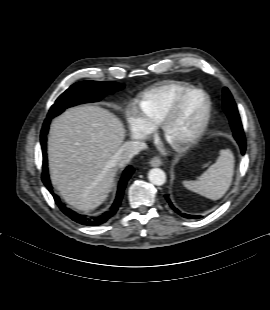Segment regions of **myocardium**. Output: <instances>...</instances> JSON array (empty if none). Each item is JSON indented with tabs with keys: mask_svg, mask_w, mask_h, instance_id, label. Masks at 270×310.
Segmentation results:
<instances>
[{
	"mask_svg": "<svg viewBox=\"0 0 270 310\" xmlns=\"http://www.w3.org/2000/svg\"><path fill=\"white\" fill-rule=\"evenodd\" d=\"M198 95L203 100V109L200 119L196 127L181 136H173L171 133V127L182 110L187 100L193 96ZM212 103L210 96L203 89L191 87L182 94H180L173 104L168 109L163 120L159 124L160 135L162 140L170 145L173 149L178 151H184L194 145L205 133L208 126L211 115Z\"/></svg>",
	"mask_w": 270,
	"mask_h": 310,
	"instance_id": "myocardium-1",
	"label": "myocardium"
}]
</instances>
